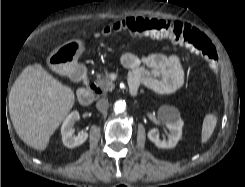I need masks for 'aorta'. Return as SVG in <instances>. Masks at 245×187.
<instances>
[{"label": "aorta", "mask_w": 245, "mask_h": 187, "mask_svg": "<svg viewBox=\"0 0 245 187\" xmlns=\"http://www.w3.org/2000/svg\"><path fill=\"white\" fill-rule=\"evenodd\" d=\"M114 110L116 113H123L126 110V103L123 100H119L115 103Z\"/></svg>", "instance_id": "obj_1"}]
</instances>
